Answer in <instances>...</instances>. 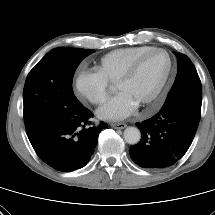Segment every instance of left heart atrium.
<instances>
[{
  "mask_svg": "<svg viewBox=\"0 0 215 215\" xmlns=\"http://www.w3.org/2000/svg\"><path fill=\"white\" fill-rule=\"evenodd\" d=\"M137 107L131 97L119 92L97 111V116L103 120L119 121L133 114Z\"/></svg>",
  "mask_w": 215,
  "mask_h": 215,
  "instance_id": "1",
  "label": "left heart atrium"
}]
</instances>
